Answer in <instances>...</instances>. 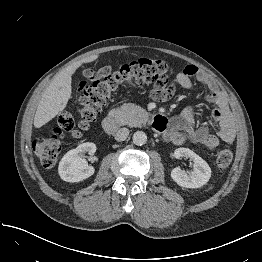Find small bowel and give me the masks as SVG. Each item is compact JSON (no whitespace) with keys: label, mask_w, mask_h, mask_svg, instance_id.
<instances>
[{"label":"small bowel","mask_w":262,"mask_h":262,"mask_svg":"<svg viewBox=\"0 0 262 262\" xmlns=\"http://www.w3.org/2000/svg\"><path fill=\"white\" fill-rule=\"evenodd\" d=\"M192 78H196L208 87L207 100L215 106L212 118L220 124L219 137L225 143L232 144L235 139V133L228 100L225 94L218 89L217 85L198 67L188 65L176 73L173 80L169 83L168 89L156 99L166 101L172 97L178 86L192 90ZM194 115V108L187 107L168 123L162 118L164 123L160 127L163 131L164 139L174 145H182L187 141H191L213 151L218 145V137L210 134L207 127H196Z\"/></svg>","instance_id":"c3829d8e"}]
</instances>
